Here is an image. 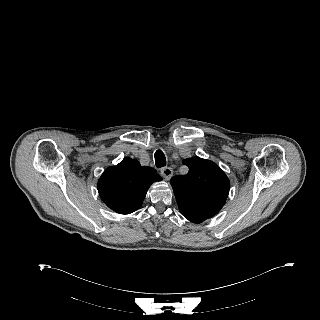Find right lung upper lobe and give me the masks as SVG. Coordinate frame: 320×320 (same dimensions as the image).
<instances>
[{"label":"right lung upper lobe","mask_w":320,"mask_h":320,"mask_svg":"<svg viewBox=\"0 0 320 320\" xmlns=\"http://www.w3.org/2000/svg\"><path fill=\"white\" fill-rule=\"evenodd\" d=\"M162 178L151 167H142L136 159L124 158L108 167L97 187L103 202L119 214H130L143 203L152 183Z\"/></svg>","instance_id":"obj_1"}]
</instances>
